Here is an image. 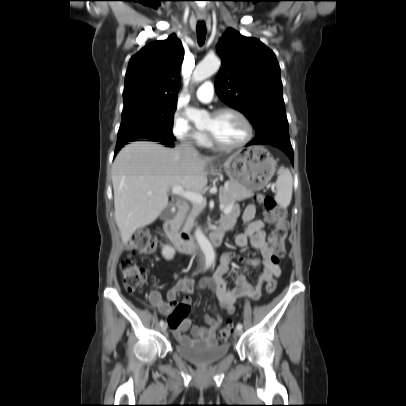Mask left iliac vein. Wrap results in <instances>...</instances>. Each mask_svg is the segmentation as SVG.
Masks as SVG:
<instances>
[{
	"label": "left iliac vein",
	"mask_w": 406,
	"mask_h": 406,
	"mask_svg": "<svg viewBox=\"0 0 406 406\" xmlns=\"http://www.w3.org/2000/svg\"><path fill=\"white\" fill-rule=\"evenodd\" d=\"M235 334L236 335H241L242 334V329H236Z\"/></svg>",
	"instance_id": "4c4485c4"
}]
</instances>
